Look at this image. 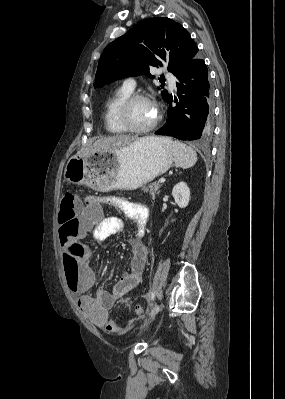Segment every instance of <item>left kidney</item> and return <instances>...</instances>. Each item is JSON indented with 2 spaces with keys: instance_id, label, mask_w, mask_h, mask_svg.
I'll return each instance as SVG.
<instances>
[{
  "instance_id": "1",
  "label": "left kidney",
  "mask_w": 285,
  "mask_h": 399,
  "mask_svg": "<svg viewBox=\"0 0 285 399\" xmlns=\"http://www.w3.org/2000/svg\"><path fill=\"white\" fill-rule=\"evenodd\" d=\"M172 196L180 208H185L189 204L190 189L185 182H179L174 186Z\"/></svg>"
}]
</instances>
